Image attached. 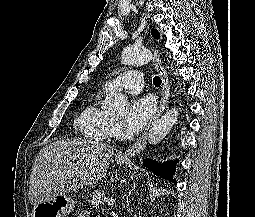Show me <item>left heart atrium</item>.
Here are the masks:
<instances>
[{
    "label": "left heart atrium",
    "instance_id": "1",
    "mask_svg": "<svg viewBox=\"0 0 255 217\" xmlns=\"http://www.w3.org/2000/svg\"><path fill=\"white\" fill-rule=\"evenodd\" d=\"M154 112V102L149 97L133 99L123 122L129 134L139 133L149 122Z\"/></svg>",
    "mask_w": 255,
    "mask_h": 217
}]
</instances>
